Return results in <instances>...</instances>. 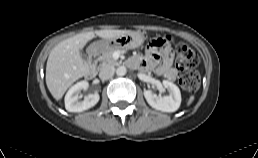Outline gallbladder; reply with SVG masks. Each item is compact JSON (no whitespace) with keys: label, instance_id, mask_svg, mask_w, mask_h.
Here are the masks:
<instances>
[{"label":"gallbladder","instance_id":"gallbladder-1","mask_svg":"<svg viewBox=\"0 0 258 158\" xmlns=\"http://www.w3.org/2000/svg\"><path fill=\"white\" fill-rule=\"evenodd\" d=\"M81 57L84 61L87 60V55L84 52H81Z\"/></svg>","mask_w":258,"mask_h":158}]
</instances>
